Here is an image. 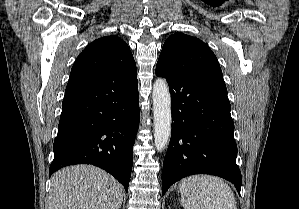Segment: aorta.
Returning <instances> with one entry per match:
<instances>
[{"mask_svg":"<svg viewBox=\"0 0 299 209\" xmlns=\"http://www.w3.org/2000/svg\"><path fill=\"white\" fill-rule=\"evenodd\" d=\"M153 115H154V143L159 152H162L171 135V96L167 82L157 78L153 84Z\"/></svg>","mask_w":299,"mask_h":209,"instance_id":"762f6f07","label":"aorta"}]
</instances>
